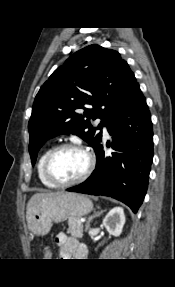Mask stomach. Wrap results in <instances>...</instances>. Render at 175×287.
<instances>
[{"label":"stomach","mask_w":175,"mask_h":287,"mask_svg":"<svg viewBox=\"0 0 175 287\" xmlns=\"http://www.w3.org/2000/svg\"><path fill=\"white\" fill-rule=\"evenodd\" d=\"M92 209L93 204L87 196L63 192L36 203L26 215L27 226L32 234L44 236L53 223H60L68 217L79 218Z\"/></svg>","instance_id":"obj_1"}]
</instances>
